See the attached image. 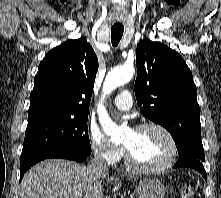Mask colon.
I'll list each match as a JSON object with an SVG mask.
<instances>
[{
    "label": "colon",
    "instance_id": "5ec220e1",
    "mask_svg": "<svg viewBox=\"0 0 221 198\" xmlns=\"http://www.w3.org/2000/svg\"><path fill=\"white\" fill-rule=\"evenodd\" d=\"M194 193L195 189L192 184H184L180 189V198H193Z\"/></svg>",
    "mask_w": 221,
    "mask_h": 198
}]
</instances>
